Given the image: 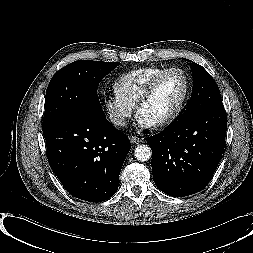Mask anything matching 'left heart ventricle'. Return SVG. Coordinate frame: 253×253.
I'll return each mask as SVG.
<instances>
[{"instance_id":"1","label":"left heart ventricle","mask_w":253,"mask_h":253,"mask_svg":"<svg viewBox=\"0 0 253 253\" xmlns=\"http://www.w3.org/2000/svg\"><path fill=\"white\" fill-rule=\"evenodd\" d=\"M183 93L184 81L182 77L179 74H170L161 81L152 98L140 109L138 114L155 124L176 109Z\"/></svg>"}]
</instances>
